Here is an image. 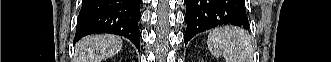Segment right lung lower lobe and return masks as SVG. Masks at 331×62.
Masks as SVG:
<instances>
[{
    "label": "right lung lower lobe",
    "instance_id": "obj_1",
    "mask_svg": "<svg viewBox=\"0 0 331 62\" xmlns=\"http://www.w3.org/2000/svg\"><path fill=\"white\" fill-rule=\"evenodd\" d=\"M142 0H83L74 43L94 33L122 35L140 48L138 21Z\"/></svg>",
    "mask_w": 331,
    "mask_h": 62
}]
</instances>
